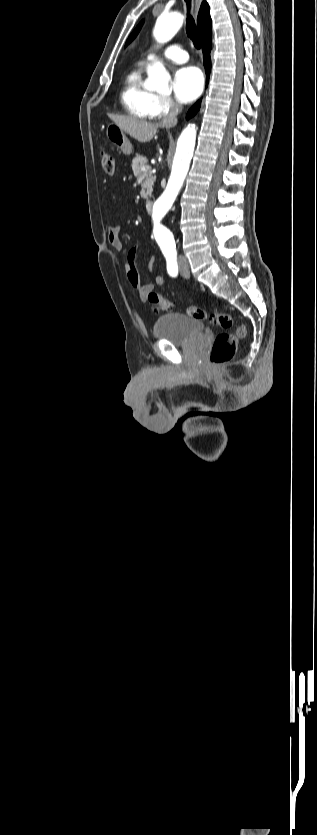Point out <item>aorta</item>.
<instances>
[{
  "mask_svg": "<svg viewBox=\"0 0 317 835\" xmlns=\"http://www.w3.org/2000/svg\"><path fill=\"white\" fill-rule=\"evenodd\" d=\"M183 22V16L178 11L161 13L153 30V36L157 43L164 44L170 41L179 31ZM148 77L144 86L150 90L164 92L168 90L171 75L164 65L157 61L147 68ZM196 141V126L188 125L180 134L176 152L173 159L171 174L165 191L155 202L152 219L156 224L155 237L160 240H167L170 245L174 244L172 232L164 223V217L171 208L178 192L180 191L189 170L190 162Z\"/></svg>",
  "mask_w": 317,
  "mask_h": 835,
  "instance_id": "762f6f07",
  "label": "aorta"
}]
</instances>
